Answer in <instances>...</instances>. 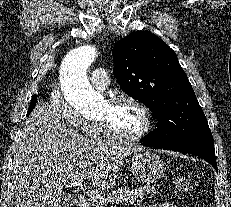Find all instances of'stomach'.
I'll use <instances>...</instances> for the list:
<instances>
[{
    "label": "stomach",
    "instance_id": "stomach-1",
    "mask_svg": "<svg viewBox=\"0 0 231 207\" xmlns=\"http://www.w3.org/2000/svg\"><path fill=\"white\" fill-rule=\"evenodd\" d=\"M131 172L142 183H156L165 173L164 161L157 154L142 150L131 156Z\"/></svg>",
    "mask_w": 231,
    "mask_h": 207
}]
</instances>
